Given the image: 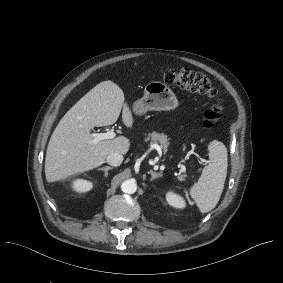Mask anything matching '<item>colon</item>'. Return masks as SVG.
Here are the masks:
<instances>
[{"label":"colon","instance_id":"1","mask_svg":"<svg viewBox=\"0 0 283 283\" xmlns=\"http://www.w3.org/2000/svg\"><path fill=\"white\" fill-rule=\"evenodd\" d=\"M162 80L169 86H175L212 99V105L204 114L202 127L205 130H210L215 126L220 119L222 108L218 102V90L206 75L188 68L180 70L170 69L162 74Z\"/></svg>","mask_w":283,"mask_h":283}]
</instances>
